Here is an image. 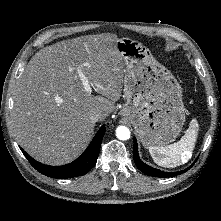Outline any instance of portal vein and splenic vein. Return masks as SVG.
Wrapping results in <instances>:
<instances>
[{"instance_id":"1","label":"portal vein and splenic vein","mask_w":221,"mask_h":221,"mask_svg":"<svg viewBox=\"0 0 221 221\" xmlns=\"http://www.w3.org/2000/svg\"><path fill=\"white\" fill-rule=\"evenodd\" d=\"M76 69H77V73H78V75H79V78H80V80L82 81V84H83V86H84V89H85L88 93H91V92H92V88H91V86H90V84H89V81H88L87 77H86V76L84 75V73L82 72L81 67L78 66ZM56 100H57V102H61V100H60L59 97H57Z\"/></svg>"}]
</instances>
